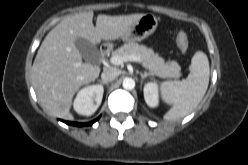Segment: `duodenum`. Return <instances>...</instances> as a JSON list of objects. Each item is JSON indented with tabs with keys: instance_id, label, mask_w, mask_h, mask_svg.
I'll list each match as a JSON object with an SVG mask.
<instances>
[{
	"instance_id": "1",
	"label": "duodenum",
	"mask_w": 248,
	"mask_h": 165,
	"mask_svg": "<svg viewBox=\"0 0 248 165\" xmlns=\"http://www.w3.org/2000/svg\"><path fill=\"white\" fill-rule=\"evenodd\" d=\"M108 51H109V47L108 46H102L101 49H100V57L102 59H105V57L108 54Z\"/></svg>"
}]
</instances>
